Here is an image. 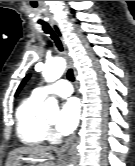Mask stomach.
Masks as SVG:
<instances>
[{"label":"stomach","instance_id":"stomach-1","mask_svg":"<svg viewBox=\"0 0 135 166\" xmlns=\"http://www.w3.org/2000/svg\"><path fill=\"white\" fill-rule=\"evenodd\" d=\"M20 161H21L20 157L18 156L13 157L9 162L6 163V166H21ZM37 166H45V165L41 163Z\"/></svg>","mask_w":135,"mask_h":166}]
</instances>
